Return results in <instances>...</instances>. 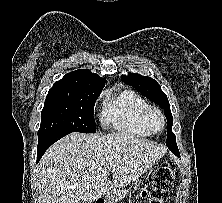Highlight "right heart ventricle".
<instances>
[{"mask_svg": "<svg viewBox=\"0 0 222 203\" xmlns=\"http://www.w3.org/2000/svg\"><path fill=\"white\" fill-rule=\"evenodd\" d=\"M147 106V102L133 90L112 89L105 96L102 123L126 135L150 136L151 132L142 122V112Z\"/></svg>", "mask_w": 222, "mask_h": 203, "instance_id": "obj_1", "label": "right heart ventricle"}]
</instances>
